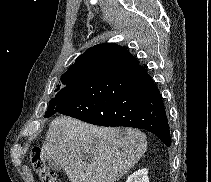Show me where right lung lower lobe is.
<instances>
[{
	"mask_svg": "<svg viewBox=\"0 0 211 182\" xmlns=\"http://www.w3.org/2000/svg\"><path fill=\"white\" fill-rule=\"evenodd\" d=\"M56 112L100 126L145 129L171 145L157 86L135 57L117 44L91 49L74 90L55 103Z\"/></svg>",
	"mask_w": 211,
	"mask_h": 182,
	"instance_id": "98d812e1",
	"label": "right lung lower lobe"
}]
</instances>
